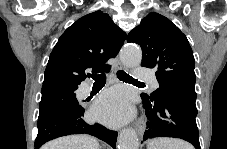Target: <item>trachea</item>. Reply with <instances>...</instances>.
Here are the masks:
<instances>
[{"instance_id":"1","label":"trachea","mask_w":227,"mask_h":149,"mask_svg":"<svg viewBox=\"0 0 227 149\" xmlns=\"http://www.w3.org/2000/svg\"><path fill=\"white\" fill-rule=\"evenodd\" d=\"M90 77L95 81L94 84L97 85H104L106 83V76L105 74H100V75H90ZM117 77L124 81V82H136V83H142L134 78H132L129 74H127L126 72L119 70L117 72Z\"/></svg>"}]
</instances>
